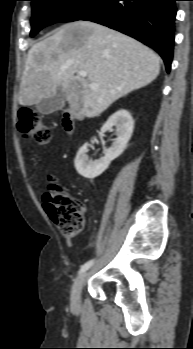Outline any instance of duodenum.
<instances>
[{
	"instance_id": "410a0bca",
	"label": "duodenum",
	"mask_w": 193,
	"mask_h": 349,
	"mask_svg": "<svg viewBox=\"0 0 193 349\" xmlns=\"http://www.w3.org/2000/svg\"><path fill=\"white\" fill-rule=\"evenodd\" d=\"M72 120L70 118V116L68 114L65 115L64 119H63V126L67 131H71L72 130Z\"/></svg>"
}]
</instances>
